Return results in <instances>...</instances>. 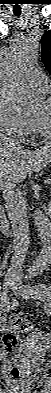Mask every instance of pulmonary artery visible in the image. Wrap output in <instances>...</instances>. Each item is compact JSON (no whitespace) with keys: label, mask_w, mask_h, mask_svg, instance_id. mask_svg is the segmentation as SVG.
I'll return each mask as SVG.
<instances>
[{"label":"pulmonary artery","mask_w":51,"mask_h":393,"mask_svg":"<svg viewBox=\"0 0 51 393\" xmlns=\"http://www.w3.org/2000/svg\"><path fill=\"white\" fill-rule=\"evenodd\" d=\"M31 81L33 85L42 92H46L49 89L48 78L40 71H36L31 75Z\"/></svg>","instance_id":"obj_1"}]
</instances>
